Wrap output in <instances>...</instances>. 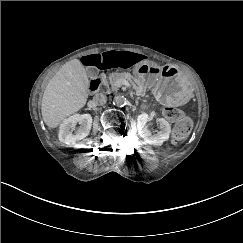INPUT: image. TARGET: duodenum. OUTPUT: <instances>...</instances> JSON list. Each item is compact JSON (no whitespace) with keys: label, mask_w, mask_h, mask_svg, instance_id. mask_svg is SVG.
<instances>
[{"label":"duodenum","mask_w":243,"mask_h":243,"mask_svg":"<svg viewBox=\"0 0 243 243\" xmlns=\"http://www.w3.org/2000/svg\"><path fill=\"white\" fill-rule=\"evenodd\" d=\"M99 83H100V79L98 77L92 78L91 81H90V84H89V90L90 91L97 90Z\"/></svg>","instance_id":"duodenum-1"}]
</instances>
